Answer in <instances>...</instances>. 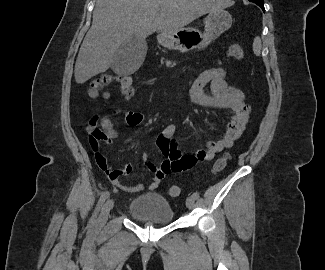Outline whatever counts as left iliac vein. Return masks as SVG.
<instances>
[{"label": "left iliac vein", "mask_w": 325, "mask_h": 270, "mask_svg": "<svg viewBox=\"0 0 325 270\" xmlns=\"http://www.w3.org/2000/svg\"><path fill=\"white\" fill-rule=\"evenodd\" d=\"M186 206L190 210L194 208V206H195V199L192 196H190V197L187 198V200H186Z\"/></svg>", "instance_id": "1"}]
</instances>
